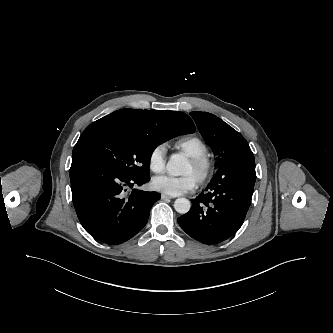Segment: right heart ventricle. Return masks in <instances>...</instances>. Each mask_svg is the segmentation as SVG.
Returning a JSON list of instances; mask_svg holds the SVG:
<instances>
[{
	"instance_id": "1",
	"label": "right heart ventricle",
	"mask_w": 333,
	"mask_h": 333,
	"mask_svg": "<svg viewBox=\"0 0 333 333\" xmlns=\"http://www.w3.org/2000/svg\"><path fill=\"white\" fill-rule=\"evenodd\" d=\"M173 146L189 157L208 154V146L203 140L196 136L180 137L173 142Z\"/></svg>"
}]
</instances>
